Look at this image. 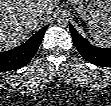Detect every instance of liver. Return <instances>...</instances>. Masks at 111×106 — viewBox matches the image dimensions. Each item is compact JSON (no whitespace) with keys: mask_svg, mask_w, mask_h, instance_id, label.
Returning <instances> with one entry per match:
<instances>
[{"mask_svg":"<svg viewBox=\"0 0 111 106\" xmlns=\"http://www.w3.org/2000/svg\"><path fill=\"white\" fill-rule=\"evenodd\" d=\"M57 0H1L0 48L9 50L23 43L38 25L47 21Z\"/></svg>","mask_w":111,"mask_h":106,"instance_id":"liver-1","label":"liver"}]
</instances>
